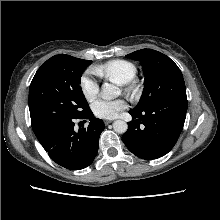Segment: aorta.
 Returning a JSON list of instances; mask_svg holds the SVG:
<instances>
[{
    "mask_svg": "<svg viewBox=\"0 0 220 220\" xmlns=\"http://www.w3.org/2000/svg\"><path fill=\"white\" fill-rule=\"evenodd\" d=\"M121 93L120 89L113 84L104 83L102 85L101 96L105 100H111L119 96ZM113 129L115 132L123 134L127 131L128 125L123 120H116L113 123Z\"/></svg>",
    "mask_w": 220,
    "mask_h": 220,
    "instance_id": "obj_1",
    "label": "aorta"
}]
</instances>
